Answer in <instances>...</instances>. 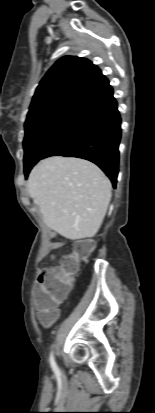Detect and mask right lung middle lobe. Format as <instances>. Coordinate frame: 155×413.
<instances>
[{
  "instance_id": "right-lung-middle-lobe-1",
  "label": "right lung middle lobe",
  "mask_w": 155,
  "mask_h": 413,
  "mask_svg": "<svg viewBox=\"0 0 155 413\" xmlns=\"http://www.w3.org/2000/svg\"><path fill=\"white\" fill-rule=\"evenodd\" d=\"M78 108L69 104L48 111L25 124L24 169L29 171L56 142Z\"/></svg>"
}]
</instances>
